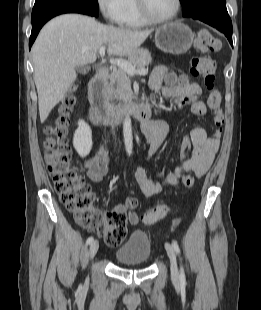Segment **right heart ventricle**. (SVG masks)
Returning a JSON list of instances; mask_svg holds the SVG:
<instances>
[{"mask_svg":"<svg viewBox=\"0 0 261 310\" xmlns=\"http://www.w3.org/2000/svg\"><path fill=\"white\" fill-rule=\"evenodd\" d=\"M118 24L125 28L138 29L147 26V23L139 14L136 0H124L123 12Z\"/></svg>","mask_w":261,"mask_h":310,"instance_id":"right-heart-ventricle-1","label":"right heart ventricle"}]
</instances>
